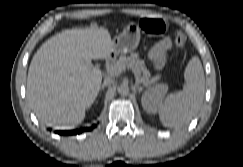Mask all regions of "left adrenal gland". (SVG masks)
I'll return each instance as SVG.
<instances>
[{
    "instance_id": "obj_1",
    "label": "left adrenal gland",
    "mask_w": 243,
    "mask_h": 167,
    "mask_svg": "<svg viewBox=\"0 0 243 167\" xmlns=\"http://www.w3.org/2000/svg\"><path fill=\"white\" fill-rule=\"evenodd\" d=\"M134 89L138 92L141 93L143 90V87L139 84H135Z\"/></svg>"
}]
</instances>
